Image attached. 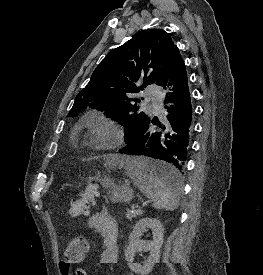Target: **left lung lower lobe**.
<instances>
[{
	"mask_svg": "<svg viewBox=\"0 0 263 275\" xmlns=\"http://www.w3.org/2000/svg\"><path fill=\"white\" fill-rule=\"evenodd\" d=\"M173 92L166 95L164 103H173L168 109L167 121L161 123L148 119L135 132L126 146L119 150L121 154L145 156L158 161L154 163L152 174L159 180L174 185L183 174L187 151L193 127V109L188 87L184 61L179 51L172 56L170 64L158 85L168 82ZM159 130H152L151 125Z\"/></svg>",
	"mask_w": 263,
	"mask_h": 275,
	"instance_id": "obj_1",
	"label": "left lung lower lobe"
}]
</instances>
